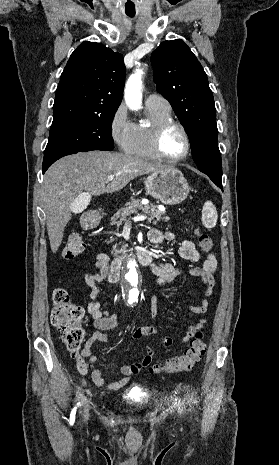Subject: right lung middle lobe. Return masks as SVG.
Listing matches in <instances>:
<instances>
[{
	"label": "right lung middle lobe",
	"mask_w": 279,
	"mask_h": 465,
	"mask_svg": "<svg viewBox=\"0 0 279 465\" xmlns=\"http://www.w3.org/2000/svg\"><path fill=\"white\" fill-rule=\"evenodd\" d=\"M116 110L102 115L52 124L43 167L59 158L89 149H113L112 120Z\"/></svg>",
	"instance_id": "1"
}]
</instances>
